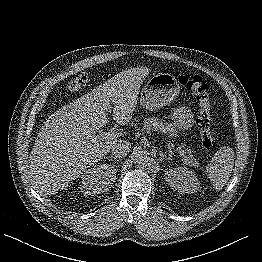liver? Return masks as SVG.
I'll list each match as a JSON object with an SVG mask.
<instances>
[{"label": "liver", "mask_w": 262, "mask_h": 262, "mask_svg": "<svg viewBox=\"0 0 262 262\" xmlns=\"http://www.w3.org/2000/svg\"><path fill=\"white\" fill-rule=\"evenodd\" d=\"M147 68L120 72L98 88L56 111L41 128L30 153L27 176L34 188L50 196L78 178L110 151L117 142L96 140L108 122L113 102V118L127 124L137 105L138 91Z\"/></svg>", "instance_id": "1"}]
</instances>
